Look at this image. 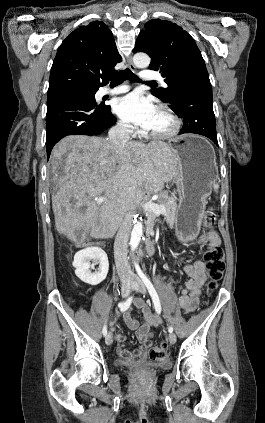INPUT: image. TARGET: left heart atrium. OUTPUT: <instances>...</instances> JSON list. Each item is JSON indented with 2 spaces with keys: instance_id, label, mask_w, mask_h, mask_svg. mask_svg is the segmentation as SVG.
I'll use <instances>...</instances> for the list:
<instances>
[{
  "instance_id": "obj_1",
  "label": "left heart atrium",
  "mask_w": 265,
  "mask_h": 423,
  "mask_svg": "<svg viewBox=\"0 0 265 423\" xmlns=\"http://www.w3.org/2000/svg\"><path fill=\"white\" fill-rule=\"evenodd\" d=\"M114 110L123 120L147 129L158 108L152 99L133 92L117 99Z\"/></svg>"
}]
</instances>
